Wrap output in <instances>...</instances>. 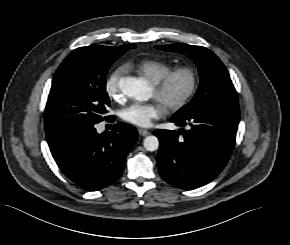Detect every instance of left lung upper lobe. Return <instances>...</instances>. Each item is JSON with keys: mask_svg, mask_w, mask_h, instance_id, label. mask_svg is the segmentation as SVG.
<instances>
[{"mask_svg": "<svg viewBox=\"0 0 290 245\" xmlns=\"http://www.w3.org/2000/svg\"><path fill=\"white\" fill-rule=\"evenodd\" d=\"M155 47L163 51L183 53L199 69L201 82L194 98L173 117L181 118L201 109H209L227 117H239V103L234 85L227 69L212 51L202 46L183 43Z\"/></svg>", "mask_w": 290, "mask_h": 245, "instance_id": "1", "label": "left lung upper lobe"}]
</instances>
